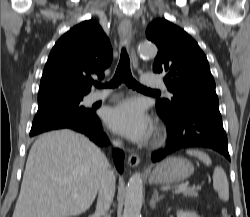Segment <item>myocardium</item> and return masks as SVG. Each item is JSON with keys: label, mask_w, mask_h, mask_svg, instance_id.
<instances>
[{"label": "myocardium", "mask_w": 250, "mask_h": 217, "mask_svg": "<svg viewBox=\"0 0 250 217\" xmlns=\"http://www.w3.org/2000/svg\"><path fill=\"white\" fill-rule=\"evenodd\" d=\"M161 141H162V136H161V134H158L157 137H156V139H155V141H154V143H155V144H158V143H160Z\"/></svg>", "instance_id": "myocardium-1"}]
</instances>
